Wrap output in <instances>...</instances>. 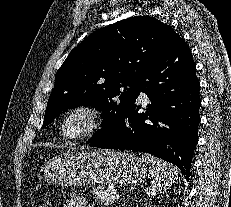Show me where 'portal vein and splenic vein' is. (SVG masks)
I'll list each match as a JSON object with an SVG mask.
<instances>
[{"instance_id":"portal-vein-and-splenic-vein-1","label":"portal vein and splenic vein","mask_w":231,"mask_h":207,"mask_svg":"<svg viewBox=\"0 0 231 207\" xmlns=\"http://www.w3.org/2000/svg\"><path fill=\"white\" fill-rule=\"evenodd\" d=\"M118 198H119V195L117 194L116 199H118Z\"/></svg>"}]
</instances>
